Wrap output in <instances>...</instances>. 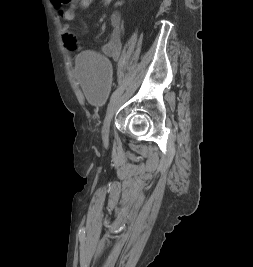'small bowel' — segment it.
<instances>
[{"label":"small bowel","mask_w":253,"mask_h":267,"mask_svg":"<svg viewBox=\"0 0 253 267\" xmlns=\"http://www.w3.org/2000/svg\"><path fill=\"white\" fill-rule=\"evenodd\" d=\"M96 0H51L52 6L57 16L62 20V40L66 47L72 50L78 49V44L74 34L71 31V22L75 18L78 8L87 10ZM104 6L113 4L119 6L122 0H102ZM110 25L112 28L108 41L101 46L102 54L113 59H118L122 50L121 28L122 16L118 11L110 15Z\"/></svg>","instance_id":"obj_1"}]
</instances>
